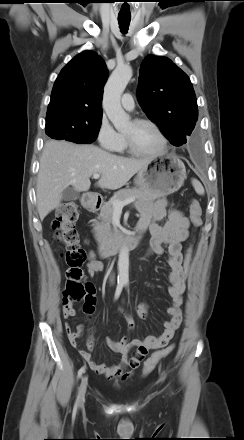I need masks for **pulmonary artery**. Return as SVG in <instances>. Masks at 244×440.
Returning a JSON list of instances; mask_svg holds the SVG:
<instances>
[{
	"instance_id": "obj_1",
	"label": "pulmonary artery",
	"mask_w": 244,
	"mask_h": 440,
	"mask_svg": "<svg viewBox=\"0 0 244 440\" xmlns=\"http://www.w3.org/2000/svg\"><path fill=\"white\" fill-rule=\"evenodd\" d=\"M122 107L125 110L132 111L134 109V99L130 93H125L121 99Z\"/></svg>"
}]
</instances>
